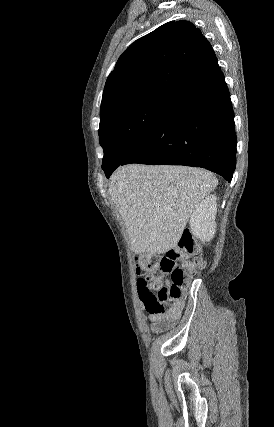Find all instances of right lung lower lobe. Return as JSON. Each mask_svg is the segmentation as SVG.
<instances>
[{
	"instance_id": "98d812e1",
	"label": "right lung lower lobe",
	"mask_w": 274,
	"mask_h": 427,
	"mask_svg": "<svg viewBox=\"0 0 274 427\" xmlns=\"http://www.w3.org/2000/svg\"><path fill=\"white\" fill-rule=\"evenodd\" d=\"M236 143L230 93L220 72L177 97L124 161L102 169L108 178L119 165L128 163L186 165L203 167L230 182Z\"/></svg>"
}]
</instances>
